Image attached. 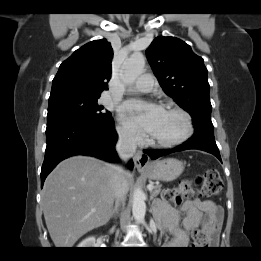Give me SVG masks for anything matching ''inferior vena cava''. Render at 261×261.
I'll list each match as a JSON object with an SVG mask.
<instances>
[{
  "instance_id": "obj_1",
  "label": "inferior vena cava",
  "mask_w": 261,
  "mask_h": 261,
  "mask_svg": "<svg viewBox=\"0 0 261 261\" xmlns=\"http://www.w3.org/2000/svg\"><path fill=\"white\" fill-rule=\"evenodd\" d=\"M137 136L134 132L125 131L119 134L116 151L120 159L127 162L136 152ZM124 170L121 166L114 165V197L116 203H124L128 186L124 180Z\"/></svg>"
}]
</instances>
